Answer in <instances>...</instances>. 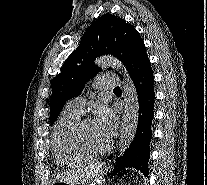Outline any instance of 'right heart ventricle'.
Segmentation results:
<instances>
[{"instance_id": "e07e8e85", "label": "right heart ventricle", "mask_w": 207, "mask_h": 185, "mask_svg": "<svg viewBox=\"0 0 207 185\" xmlns=\"http://www.w3.org/2000/svg\"><path fill=\"white\" fill-rule=\"evenodd\" d=\"M80 116L81 114L66 110L55 125L52 144L59 163L77 165L94 157L82 150L76 142L75 129L80 121Z\"/></svg>"}]
</instances>
